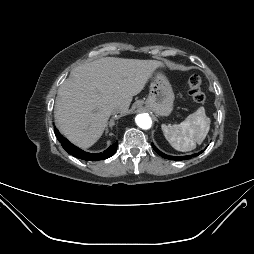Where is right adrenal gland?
Listing matches in <instances>:
<instances>
[{"label":"right adrenal gland","instance_id":"obj_1","mask_svg":"<svg viewBox=\"0 0 254 254\" xmlns=\"http://www.w3.org/2000/svg\"><path fill=\"white\" fill-rule=\"evenodd\" d=\"M108 132V128H106V133Z\"/></svg>","mask_w":254,"mask_h":254}]
</instances>
